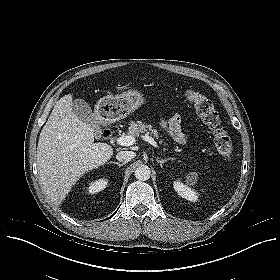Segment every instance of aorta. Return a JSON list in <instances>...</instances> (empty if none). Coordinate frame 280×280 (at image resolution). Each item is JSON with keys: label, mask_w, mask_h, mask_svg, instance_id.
Segmentation results:
<instances>
[{"label": "aorta", "mask_w": 280, "mask_h": 280, "mask_svg": "<svg viewBox=\"0 0 280 280\" xmlns=\"http://www.w3.org/2000/svg\"><path fill=\"white\" fill-rule=\"evenodd\" d=\"M135 177L138 180H148L151 175L150 168L147 165H139L135 170Z\"/></svg>", "instance_id": "aorta-1"}]
</instances>
